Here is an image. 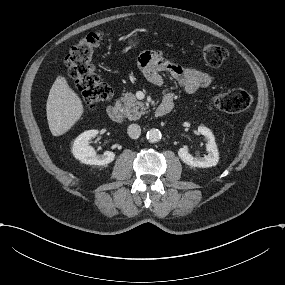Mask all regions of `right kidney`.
Masks as SVG:
<instances>
[{
  "label": "right kidney",
  "mask_w": 285,
  "mask_h": 285,
  "mask_svg": "<svg viewBox=\"0 0 285 285\" xmlns=\"http://www.w3.org/2000/svg\"><path fill=\"white\" fill-rule=\"evenodd\" d=\"M97 135V130L86 131L73 143L72 153L83 164L104 166L115 160L114 152L107 151L102 156H96L93 148L89 147V141Z\"/></svg>",
  "instance_id": "ca27d5eb"
}]
</instances>
